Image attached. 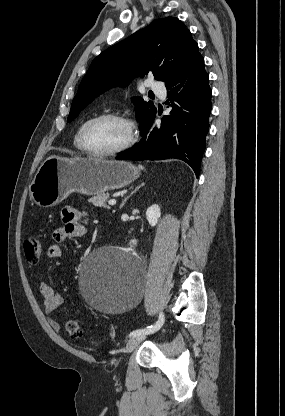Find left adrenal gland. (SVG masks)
I'll return each instance as SVG.
<instances>
[{
  "label": "left adrenal gland",
  "mask_w": 285,
  "mask_h": 416,
  "mask_svg": "<svg viewBox=\"0 0 285 416\" xmlns=\"http://www.w3.org/2000/svg\"><path fill=\"white\" fill-rule=\"evenodd\" d=\"M142 186H145L144 182H141V186H137V188H135L134 192H131V194H129V196H127V198H124L120 208H123L124 204H126L128 198H130V196H132V194H135V192H138V190H140V188H142Z\"/></svg>",
  "instance_id": "1"
}]
</instances>
